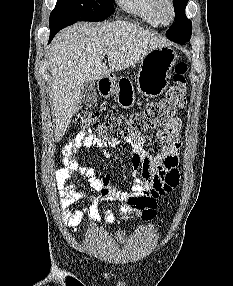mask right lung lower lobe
I'll return each instance as SVG.
<instances>
[{
  "instance_id": "1",
  "label": "right lung lower lobe",
  "mask_w": 233,
  "mask_h": 286,
  "mask_svg": "<svg viewBox=\"0 0 233 286\" xmlns=\"http://www.w3.org/2000/svg\"><path fill=\"white\" fill-rule=\"evenodd\" d=\"M69 25H71V23L65 22V23H61V24L55 25V26H51V27H50L51 33H50L49 42L53 39V37L55 36V34H56L58 31H60L61 29L65 28V27H67V26H69Z\"/></svg>"
}]
</instances>
